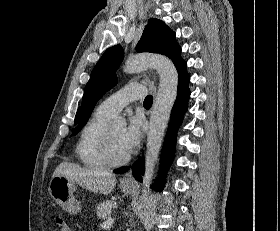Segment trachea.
<instances>
[{
    "label": "trachea",
    "instance_id": "1",
    "mask_svg": "<svg viewBox=\"0 0 280 231\" xmlns=\"http://www.w3.org/2000/svg\"><path fill=\"white\" fill-rule=\"evenodd\" d=\"M152 102H153V97L151 95H148L145 99H144V107L146 109H149L152 106Z\"/></svg>",
    "mask_w": 280,
    "mask_h": 231
}]
</instances>
